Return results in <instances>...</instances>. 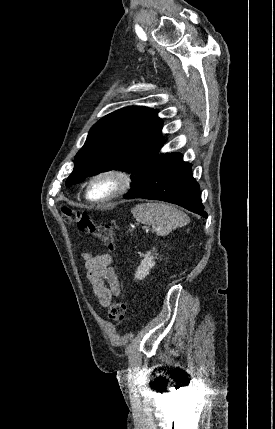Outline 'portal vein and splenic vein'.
<instances>
[{"label": "portal vein and splenic vein", "instance_id": "portal-vein-and-splenic-vein-1", "mask_svg": "<svg viewBox=\"0 0 275 429\" xmlns=\"http://www.w3.org/2000/svg\"><path fill=\"white\" fill-rule=\"evenodd\" d=\"M142 229H143V230H145V229H146V226H142Z\"/></svg>", "mask_w": 275, "mask_h": 429}]
</instances>
